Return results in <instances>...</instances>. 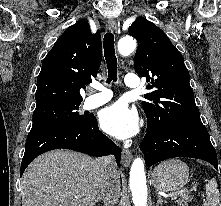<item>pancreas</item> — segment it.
Returning a JSON list of instances; mask_svg holds the SVG:
<instances>
[{
	"mask_svg": "<svg viewBox=\"0 0 221 206\" xmlns=\"http://www.w3.org/2000/svg\"><path fill=\"white\" fill-rule=\"evenodd\" d=\"M176 203H178L180 206L187 205L188 202L192 201L193 197L191 195H187L185 193L180 194V197L174 198Z\"/></svg>",
	"mask_w": 221,
	"mask_h": 206,
	"instance_id": "1",
	"label": "pancreas"
}]
</instances>
